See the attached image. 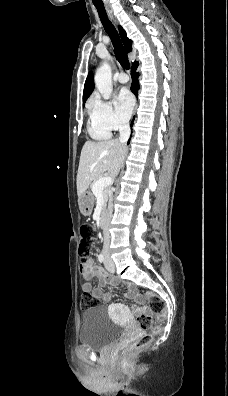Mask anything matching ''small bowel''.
I'll return each mask as SVG.
<instances>
[{"instance_id": "c3829d8e", "label": "small bowel", "mask_w": 228, "mask_h": 396, "mask_svg": "<svg viewBox=\"0 0 228 396\" xmlns=\"http://www.w3.org/2000/svg\"><path fill=\"white\" fill-rule=\"evenodd\" d=\"M80 272L85 280V282L82 284L81 289L83 293H90L92 294L95 298L103 300V301H109L111 296L109 293H105L102 290V286L104 285H112L116 286L118 285L119 281L117 278L108 275L101 267L97 266L92 259H90L87 264L80 265ZM93 277H97L100 282V286L98 288L93 289L91 283L89 280ZM128 295L135 301V305L131 307V311L135 315H142L146 313L148 310L147 308L142 304V298L140 295L137 294L135 288L131 285L128 284ZM116 308H120L124 310V307L121 305L115 306Z\"/></svg>"}]
</instances>
